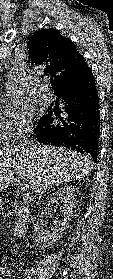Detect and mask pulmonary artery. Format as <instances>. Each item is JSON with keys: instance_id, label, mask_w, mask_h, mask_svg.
Wrapping results in <instances>:
<instances>
[{"instance_id": "obj_1", "label": "pulmonary artery", "mask_w": 113, "mask_h": 279, "mask_svg": "<svg viewBox=\"0 0 113 279\" xmlns=\"http://www.w3.org/2000/svg\"><path fill=\"white\" fill-rule=\"evenodd\" d=\"M40 95L46 103H50L53 100V96L49 91L48 85L46 84L40 89Z\"/></svg>"}]
</instances>
